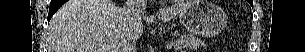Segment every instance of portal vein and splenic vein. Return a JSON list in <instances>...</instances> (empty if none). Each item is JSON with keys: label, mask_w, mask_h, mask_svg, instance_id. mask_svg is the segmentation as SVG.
<instances>
[{"label": "portal vein and splenic vein", "mask_w": 305, "mask_h": 52, "mask_svg": "<svg viewBox=\"0 0 305 52\" xmlns=\"http://www.w3.org/2000/svg\"><path fill=\"white\" fill-rule=\"evenodd\" d=\"M173 45H174V43H173V42H171V43H170V47H172Z\"/></svg>", "instance_id": "1"}]
</instances>
